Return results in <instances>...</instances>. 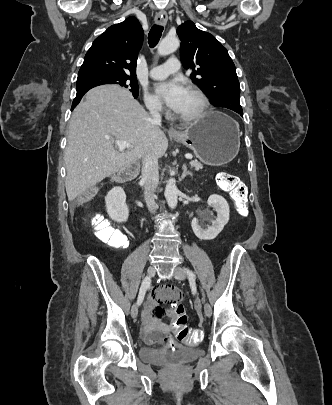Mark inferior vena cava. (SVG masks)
I'll return each instance as SVG.
<instances>
[{"mask_svg": "<svg viewBox=\"0 0 332 405\" xmlns=\"http://www.w3.org/2000/svg\"><path fill=\"white\" fill-rule=\"evenodd\" d=\"M147 108L150 111L153 123L161 125L158 103L150 102L147 104ZM158 176V158L152 153L145 154L142 160V182L145 189V201L151 213H155L156 210L154 192L158 184Z\"/></svg>", "mask_w": 332, "mask_h": 405, "instance_id": "602c4592", "label": "inferior vena cava"}]
</instances>
